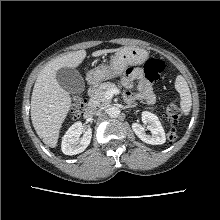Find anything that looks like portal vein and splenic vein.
<instances>
[{
	"label": "portal vein and splenic vein",
	"instance_id": "18ae733b",
	"mask_svg": "<svg viewBox=\"0 0 220 220\" xmlns=\"http://www.w3.org/2000/svg\"><path fill=\"white\" fill-rule=\"evenodd\" d=\"M119 93H120V91L117 88L108 90L105 93V98L111 99L114 96V94H119Z\"/></svg>",
	"mask_w": 220,
	"mask_h": 220
}]
</instances>
